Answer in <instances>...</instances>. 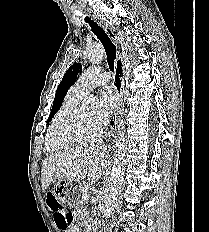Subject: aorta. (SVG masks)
Masks as SVG:
<instances>
[{
	"label": "aorta",
	"mask_w": 209,
	"mask_h": 232,
	"mask_svg": "<svg viewBox=\"0 0 209 232\" xmlns=\"http://www.w3.org/2000/svg\"><path fill=\"white\" fill-rule=\"evenodd\" d=\"M88 59L92 64H99L103 59V49L97 43L90 45L87 51ZM87 106H94V99L89 98L85 102ZM120 116H123V112L120 111ZM119 120L118 125V137L115 143V153L110 170V178L108 180L106 193L104 195L105 208L103 216L108 218L113 213L117 206L118 195L120 193L121 186L124 181V172L126 164V139H125V122L123 119Z\"/></svg>",
	"instance_id": "obj_1"
}]
</instances>
